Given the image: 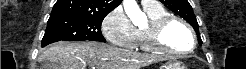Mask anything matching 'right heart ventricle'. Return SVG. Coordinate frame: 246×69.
<instances>
[{
	"label": "right heart ventricle",
	"instance_id": "e07e8e85",
	"mask_svg": "<svg viewBox=\"0 0 246 69\" xmlns=\"http://www.w3.org/2000/svg\"><path fill=\"white\" fill-rule=\"evenodd\" d=\"M144 12L147 15L148 21L145 25L139 26L138 28L135 29V37H134V43L133 47L139 48L143 51L151 52V53H156V54H162L163 52L150 46L143 34L144 28L147 26L148 23L154 22L164 16L170 15V13L162 7L160 4L156 6H143Z\"/></svg>",
	"mask_w": 246,
	"mask_h": 69
}]
</instances>
